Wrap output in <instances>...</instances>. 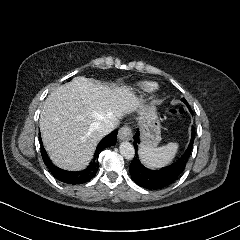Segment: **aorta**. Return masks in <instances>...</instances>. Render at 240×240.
<instances>
[{
	"instance_id": "762f6f07",
	"label": "aorta",
	"mask_w": 240,
	"mask_h": 240,
	"mask_svg": "<svg viewBox=\"0 0 240 240\" xmlns=\"http://www.w3.org/2000/svg\"><path fill=\"white\" fill-rule=\"evenodd\" d=\"M119 151L120 154L126 159H130L134 156V147L128 141H123L119 144Z\"/></svg>"
}]
</instances>
